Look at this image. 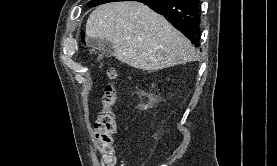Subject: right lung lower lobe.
Returning a JSON list of instances; mask_svg holds the SVG:
<instances>
[{
    "mask_svg": "<svg viewBox=\"0 0 277 166\" xmlns=\"http://www.w3.org/2000/svg\"><path fill=\"white\" fill-rule=\"evenodd\" d=\"M133 1V0H112ZM148 5L155 12L163 15L178 30H180L192 43L200 45L198 10L199 0H135Z\"/></svg>",
    "mask_w": 277,
    "mask_h": 166,
    "instance_id": "1",
    "label": "right lung lower lobe"
}]
</instances>
